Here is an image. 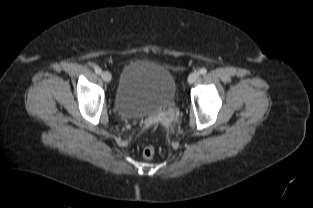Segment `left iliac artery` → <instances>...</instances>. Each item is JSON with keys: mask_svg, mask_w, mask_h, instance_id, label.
<instances>
[{"mask_svg": "<svg viewBox=\"0 0 313 208\" xmlns=\"http://www.w3.org/2000/svg\"><path fill=\"white\" fill-rule=\"evenodd\" d=\"M200 74L205 75L207 73V69L206 68H201L199 70Z\"/></svg>", "mask_w": 313, "mask_h": 208, "instance_id": "44dca946", "label": "left iliac artery"}]
</instances>
